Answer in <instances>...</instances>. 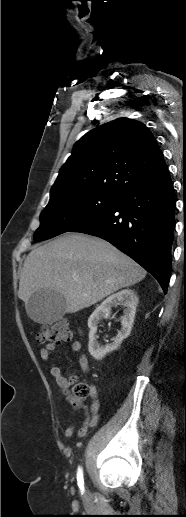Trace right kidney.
<instances>
[{"instance_id": "right-kidney-1", "label": "right kidney", "mask_w": 186, "mask_h": 517, "mask_svg": "<svg viewBox=\"0 0 186 517\" xmlns=\"http://www.w3.org/2000/svg\"><path fill=\"white\" fill-rule=\"evenodd\" d=\"M137 304L138 297L135 291L124 289L109 296L94 310L88 319V327L90 329L88 350L94 359L101 360L107 353L116 350L121 345L122 341L130 335ZM117 305H122L124 307V315L121 317L122 328L118 331V335L112 343L102 346L97 341V325L101 320L108 318L111 313V308L116 307Z\"/></svg>"}]
</instances>
